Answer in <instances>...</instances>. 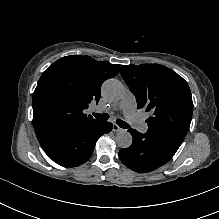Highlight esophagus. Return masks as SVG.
Instances as JSON below:
<instances>
[{"instance_id":"esophagus-1","label":"esophagus","mask_w":219,"mask_h":219,"mask_svg":"<svg viewBox=\"0 0 219 219\" xmlns=\"http://www.w3.org/2000/svg\"><path fill=\"white\" fill-rule=\"evenodd\" d=\"M123 129L120 128L117 124H113V131L114 132H121Z\"/></svg>"}]
</instances>
